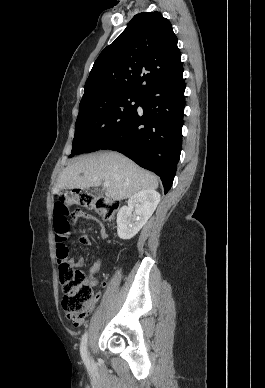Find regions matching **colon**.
Here are the masks:
<instances>
[{
    "label": "colon",
    "instance_id": "colon-1",
    "mask_svg": "<svg viewBox=\"0 0 265 388\" xmlns=\"http://www.w3.org/2000/svg\"><path fill=\"white\" fill-rule=\"evenodd\" d=\"M75 203L96 212L108 221L115 218L120 205L106 196L86 192L60 191L56 194L53 220L56 260L59 264V279L64 291L62 306L67 319L77 324L86 315L87 308L92 302V290L87 283L86 275L80 270H75L67 260L69 251L66 240L71 229L69 206Z\"/></svg>",
    "mask_w": 265,
    "mask_h": 388
}]
</instances>
